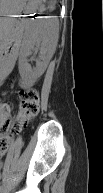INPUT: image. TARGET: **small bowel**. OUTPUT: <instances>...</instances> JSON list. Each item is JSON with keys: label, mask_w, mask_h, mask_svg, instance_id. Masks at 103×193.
Returning <instances> with one entry per match:
<instances>
[{"label": "small bowel", "mask_w": 103, "mask_h": 193, "mask_svg": "<svg viewBox=\"0 0 103 193\" xmlns=\"http://www.w3.org/2000/svg\"><path fill=\"white\" fill-rule=\"evenodd\" d=\"M5 170H4V173H5V175L8 173V170L6 169V167L4 168ZM4 175V176H5Z\"/></svg>", "instance_id": "c3829d8e"}]
</instances>
